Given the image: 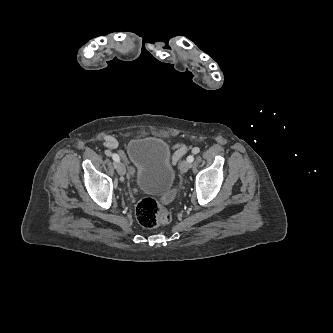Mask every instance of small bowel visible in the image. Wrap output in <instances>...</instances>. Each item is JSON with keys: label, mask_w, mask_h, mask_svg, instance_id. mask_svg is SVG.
I'll list each match as a JSON object with an SVG mask.
<instances>
[{"label": "small bowel", "mask_w": 333, "mask_h": 333, "mask_svg": "<svg viewBox=\"0 0 333 333\" xmlns=\"http://www.w3.org/2000/svg\"><path fill=\"white\" fill-rule=\"evenodd\" d=\"M104 145L108 149H114L117 147V141L111 135H107L104 137ZM187 151V147L183 144H179L175 146V153L172 158V163L176 164L180 158L184 156ZM194 152H197V149H194Z\"/></svg>", "instance_id": "obj_1"}]
</instances>
